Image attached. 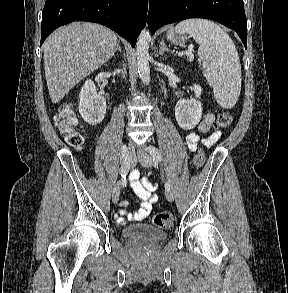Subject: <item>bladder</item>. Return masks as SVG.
Returning a JSON list of instances; mask_svg holds the SVG:
<instances>
[{
    "instance_id": "obj_1",
    "label": "bladder",
    "mask_w": 288,
    "mask_h": 293,
    "mask_svg": "<svg viewBox=\"0 0 288 293\" xmlns=\"http://www.w3.org/2000/svg\"><path fill=\"white\" fill-rule=\"evenodd\" d=\"M122 236L129 240L145 239L150 241H161L168 236V233L151 225L134 224L125 227L122 230Z\"/></svg>"
}]
</instances>
